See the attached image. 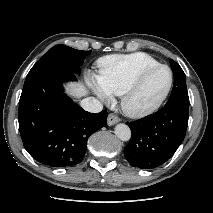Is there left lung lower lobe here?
<instances>
[{"label":"left lung lower lobe","mask_w":213,"mask_h":213,"mask_svg":"<svg viewBox=\"0 0 213 213\" xmlns=\"http://www.w3.org/2000/svg\"><path fill=\"white\" fill-rule=\"evenodd\" d=\"M189 118V102L171 99L159 111L127 122L132 138L124 149L133 167L155 168L165 163L183 142Z\"/></svg>","instance_id":"left-lung-lower-lobe-1"}]
</instances>
